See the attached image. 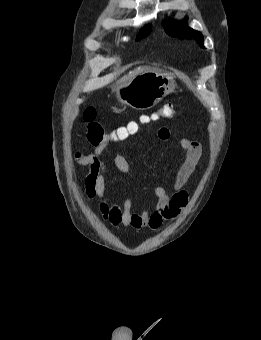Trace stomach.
<instances>
[{
  "label": "stomach",
  "mask_w": 261,
  "mask_h": 340,
  "mask_svg": "<svg viewBox=\"0 0 261 340\" xmlns=\"http://www.w3.org/2000/svg\"><path fill=\"white\" fill-rule=\"evenodd\" d=\"M175 87L176 83L170 74L150 70L138 74L125 84L117 85L115 90L120 103L136 110H147L173 92Z\"/></svg>",
  "instance_id": "obj_1"
}]
</instances>
